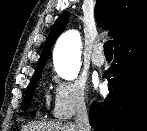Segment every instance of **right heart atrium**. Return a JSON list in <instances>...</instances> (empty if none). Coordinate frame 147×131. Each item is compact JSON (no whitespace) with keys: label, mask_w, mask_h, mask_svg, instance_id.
<instances>
[{"label":"right heart atrium","mask_w":147,"mask_h":131,"mask_svg":"<svg viewBox=\"0 0 147 131\" xmlns=\"http://www.w3.org/2000/svg\"><path fill=\"white\" fill-rule=\"evenodd\" d=\"M55 92L52 114L59 121H67L82 114L87 108V89L80 79L61 80L54 78Z\"/></svg>","instance_id":"1"}]
</instances>
